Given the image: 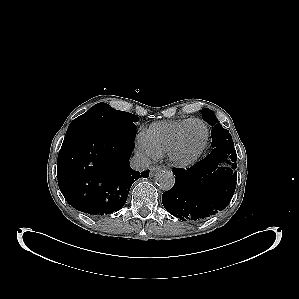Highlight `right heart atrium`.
Returning <instances> with one entry per match:
<instances>
[{"label": "right heart atrium", "instance_id": "d8ad5b80", "mask_svg": "<svg viewBox=\"0 0 299 299\" xmlns=\"http://www.w3.org/2000/svg\"><path fill=\"white\" fill-rule=\"evenodd\" d=\"M137 152L145 160L157 156V153L146 143L142 136H140L137 141Z\"/></svg>", "mask_w": 299, "mask_h": 299}]
</instances>
